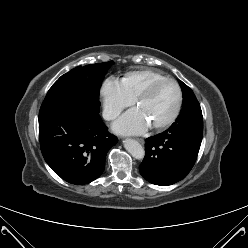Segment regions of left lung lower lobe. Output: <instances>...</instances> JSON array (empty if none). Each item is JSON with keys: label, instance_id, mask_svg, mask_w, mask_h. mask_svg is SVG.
Instances as JSON below:
<instances>
[{"label": "left lung lower lobe", "instance_id": "1", "mask_svg": "<svg viewBox=\"0 0 248 248\" xmlns=\"http://www.w3.org/2000/svg\"><path fill=\"white\" fill-rule=\"evenodd\" d=\"M203 136V121L171 125L163 133L146 139L141 175L160 186L174 184L192 169Z\"/></svg>", "mask_w": 248, "mask_h": 248}]
</instances>
